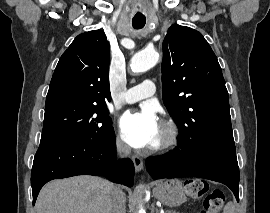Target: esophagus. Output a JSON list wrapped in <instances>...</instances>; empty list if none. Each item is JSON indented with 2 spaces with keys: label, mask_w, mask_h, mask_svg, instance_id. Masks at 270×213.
Masks as SVG:
<instances>
[{
  "label": "esophagus",
  "mask_w": 270,
  "mask_h": 213,
  "mask_svg": "<svg viewBox=\"0 0 270 213\" xmlns=\"http://www.w3.org/2000/svg\"><path fill=\"white\" fill-rule=\"evenodd\" d=\"M132 161L135 167L136 172H140L143 169V160L140 156L138 155H133L132 156Z\"/></svg>",
  "instance_id": "esophagus-1"
}]
</instances>
